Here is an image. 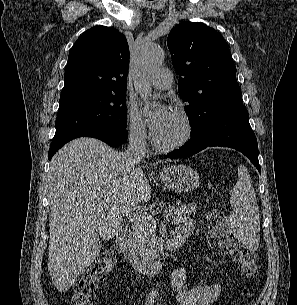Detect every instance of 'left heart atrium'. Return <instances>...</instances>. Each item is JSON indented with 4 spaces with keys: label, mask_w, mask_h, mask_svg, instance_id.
I'll return each instance as SVG.
<instances>
[{
    "label": "left heart atrium",
    "mask_w": 297,
    "mask_h": 305,
    "mask_svg": "<svg viewBox=\"0 0 297 305\" xmlns=\"http://www.w3.org/2000/svg\"><path fill=\"white\" fill-rule=\"evenodd\" d=\"M173 114L169 107L161 106L149 118L148 125L154 137L165 128Z\"/></svg>",
    "instance_id": "39dd6f15"
}]
</instances>
